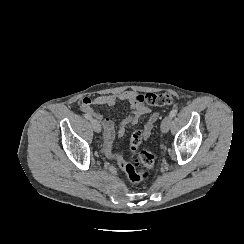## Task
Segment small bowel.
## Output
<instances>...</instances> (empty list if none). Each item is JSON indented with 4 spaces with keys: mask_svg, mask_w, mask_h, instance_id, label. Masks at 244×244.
<instances>
[{
    "mask_svg": "<svg viewBox=\"0 0 244 244\" xmlns=\"http://www.w3.org/2000/svg\"><path fill=\"white\" fill-rule=\"evenodd\" d=\"M134 94L135 92L133 91H123L118 94L100 95L95 98L85 96L79 102V109L82 113L88 112L92 114L95 121L101 123L104 133V151L107 154L113 155L112 150L115 140V124L112 118L101 115L99 112L95 111L93 106L112 107L115 106L118 101H124L130 104L132 115L120 122L117 130L120 137L125 134L127 125H135L142 116H147V121L141 133L145 138H147L150 136L155 123L159 119V116L156 113H153L148 106H135L132 101Z\"/></svg>",
    "mask_w": 244,
    "mask_h": 244,
    "instance_id": "small-bowel-1",
    "label": "small bowel"
}]
</instances>
